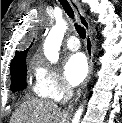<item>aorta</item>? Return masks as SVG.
Wrapping results in <instances>:
<instances>
[{
  "instance_id": "aorta-1",
  "label": "aorta",
  "mask_w": 122,
  "mask_h": 123,
  "mask_svg": "<svg viewBox=\"0 0 122 123\" xmlns=\"http://www.w3.org/2000/svg\"><path fill=\"white\" fill-rule=\"evenodd\" d=\"M66 28L67 23L64 20L57 22L56 25L52 28L48 38L45 41L44 55L51 63H56L59 59V50ZM82 112L83 107L81 106L74 114L72 123H79Z\"/></svg>"
}]
</instances>
